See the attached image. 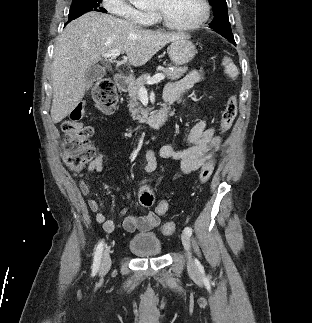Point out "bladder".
Here are the masks:
<instances>
[{
    "instance_id": "bladder-1",
    "label": "bladder",
    "mask_w": 312,
    "mask_h": 323,
    "mask_svg": "<svg viewBox=\"0 0 312 323\" xmlns=\"http://www.w3.org/2000/svg\"><path fill=\"white\" fill-rule=\"evenodd\" d=\"M128 249L132 250L136 257H152L159 256L163 248L156 234L145 233L132 236Z\"/></svg>"
}]
</instances>
